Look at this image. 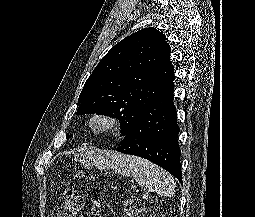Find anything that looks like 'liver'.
<instances>
[{
    "label": "liver",
    "instance_id": "6515ba94",
    "mask_svg": "<svg viewBox=\"0 0 255 217\" xmlns=\"http://www.w3.org/2000/svg\"><path fill=\"white\" fill-rule=\"evenodd\" d=\"M78 152L80 153V154H78V156L80 155V157H83V158H92V157H101L100 155H96L95 153H94V151H92V150H88V149H79L78 150ZM115 153H112V152H107V154H106V156H107V158L108 157H110V156H112V155H114ZM103 156H105V155H103ZM102 158H104V157H102Z\"/></svg>",
    "mask_w": 255,
    "mask_h": 217
}]
</instances>
